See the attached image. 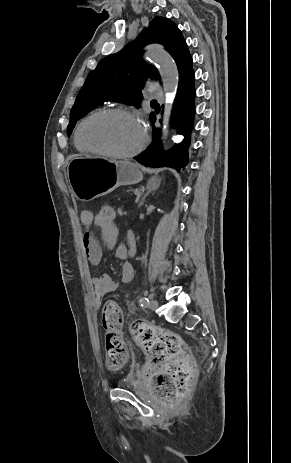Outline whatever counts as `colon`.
I'll use <instances>...</instances> for the list:
<instances>
[{
	"instance_id": "1",
	"label": "colon",
	"mask_w": 291,
	"mask_h": 463,
	"mask_svg": "<svg viewBox=\"0 0 291 463\" xmlns=\"http://www.w3.org/2000/svg\"><path fill=\"white\" fill-rule=\"evenodd\" d=\"M98 209V228L114 226L118 221V208L115 205L100 204ZM102 325L106 331V365L111 370L121 369L127 362L128 354L122 336L123 314L116 303L107 302L104 305ZM133 328L149 356L145 374L150 378L153 394L165 401L184 394L190 387L194 369L181 337L147 324H136Z\"/></svg>"
}]
</instances>
